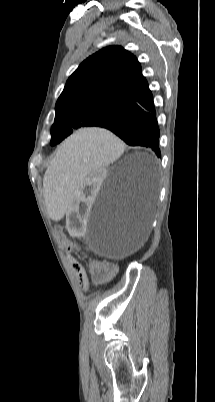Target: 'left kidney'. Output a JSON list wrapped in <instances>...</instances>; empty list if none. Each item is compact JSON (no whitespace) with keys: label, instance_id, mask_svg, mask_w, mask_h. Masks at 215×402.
Here are the masks:
<instances>
[{"label":"left kidney","instance_id":"left-kidney-1","mask_svg":"<svg viewBox=\"0 0 215 402\" xmlns=\"http://www.w3.org/2000/svg\"><path fill=\"white\" fill-rule=\"evenodd\" d=\"M105 169H98L90 178L84 179V184L79 186V191L72 193V203L69 206L67 217V229L72 240H84L86 237V212L89 211L92 200H96L97 193H100V181L105 178Z\"/></svg>","mask_w":215,"mask_h":402}]
</instances>
